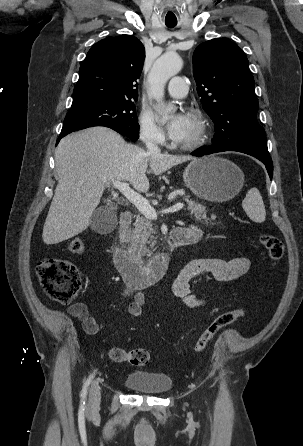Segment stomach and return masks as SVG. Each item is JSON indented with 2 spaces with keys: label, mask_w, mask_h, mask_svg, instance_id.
Instances as JSON below:
<instances>
[{
  "label": "stomach",
  "mask_w": 303,
  "mask_h": 446,
  "mask_svg": "<svg viewBox=\"0 0 303 446\" xmlns=\"http://www.w3.org/2000/svg\"><path fill=\"white\" fill-rule=\"evenodd\" d=\"M183 180L198 198L225 202L240 192L244 174L233 162L210 156L193 159L184 170Z\"/></svg>",
  "instance_id": "1"
}]
</instances>
